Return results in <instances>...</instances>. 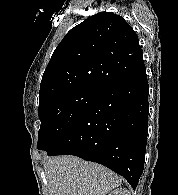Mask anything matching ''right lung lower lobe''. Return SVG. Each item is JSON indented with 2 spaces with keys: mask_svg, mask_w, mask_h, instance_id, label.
<instances>
[{
  "mask_svg": "<svg viewBox=\"0 0 178 195\" xmlns=\"http://www.w3.org/2000/svg\"><path fill=\"white\" fill-rule=\"evenodd\" d=\"M148 89L145 67L105 86L48 155H75L97 162L122 175L135 189L145 161Z\"/></svg>",
  "mask_w": 178,
  "mask_h": 195,
  "instance_id": "obj_1",
  "label": "right lung lower lobe"
}]
</instances>
